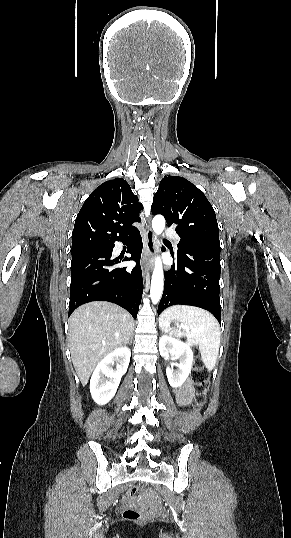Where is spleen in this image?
I'll return each mask as SVG.
<instances>
[{"label": "spleen", "mask_w": 291, "mask_h": 538, "mask_svg": "<svg viewBox=\"0 0 291 538\" xmlns=\"http://www.w3.org/2000/svg\"><path fill=\"white\" fill-rule=\"evenodd\" d=\"M180 322L174 333L186 336L188 341L199 345L201 358L208 370H212L220 347V327L208 311L193 306L174 305L164 310L159 317V326L167 330L170 321Z\"/></svg>", "instance_id": "spleen-1"}]
</instances>
